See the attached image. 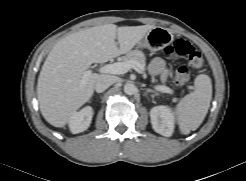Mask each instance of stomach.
Listing matches in <instances>:
<instances>
[{
  "label": "stomach",
  "instance_id": "1",
  "mask_svg": "<svg viewBox=\"0 0 246 181\" xmlns=\"http://www.w3.org/2000/svg\"><path fill=\"white\" fill-rule=\"evenodd\" d=\"M172 41L173 35L168 29L155 27L146 34L142 42L139 43V46L157 51L169 45Z\"/></svg>",
  "mask_w": 246,
  "mask_h": 181
}]
</instances>
